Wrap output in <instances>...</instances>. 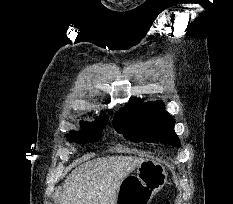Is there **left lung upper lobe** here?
I'll use <instances>...</instances> for the list:
<instances>
[{
  "instance_id": "left-lung-upper-lobe-1",
  "label": "left lung upper lobe",
  "mask_w": 233,
  "mask_h": 204,
  "mask_svg": "<svg viewBox=\"0 0 233 204\" xmlns=\"http://www.w3.org/2000/svg\"><path fill=\"white\" fill-rule=\"evenodd\" d=\"M114 127L119 133L134 142L142 140L162 141L180 146L174 132L175 121L165 109L162 101L142 103V100L118 111Z\"/></svg>"
}]
</instances>
